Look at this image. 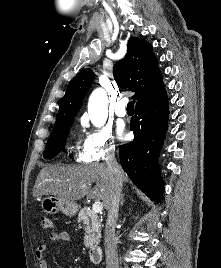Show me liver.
I'll use <instances>...</instances> for the list:
<instances>
[{
	"label": "liver",
	"instance_id": "6515ba94",
	"mask_svg": "<svg viewBox=\"0 0 221 268\" xmlns=\"http://www.w3.org/2000/svg\"><path fill=\"white\" fill-rule=\"evenodd\" d=\"M121 169V168H120ZM122 183L129 178L121 169ZM92 183H96L91 189ZM53 195L66 201H76L87 196L102 201L107 209L110 202V175L106 164L95 163L85 166H53L41 169L36 179L33 196Z\"/></svg>",
	"mask_w": 221,
	"mask_h": 268
}]
</instances>
